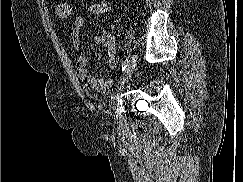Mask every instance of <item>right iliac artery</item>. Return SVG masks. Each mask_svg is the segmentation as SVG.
I'll return each mask as SVG.
<instances>
[{
  "label": "right iliac artery",
  "mask_w": 243,
  "mask_h": 182,
  "mask_svg": "<svg viewBox=\"0 0 243 182\" xmlns=\"http://www.w3.org/2000/svg\"><path fill=\"white\" fill-rule=\"evenodd\" d=\"M127 64H128V61H127V59H126V60L123 62V64H122V71L125 70Z\"/></svg>",
  "instance_id": "right-iliac-artery-1"
}]
</instances>
